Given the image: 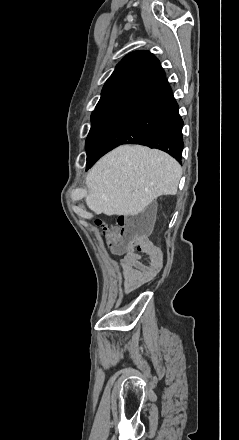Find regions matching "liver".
Wrapping results in <instances>:
<instances>
[{
  "mask_svg": "<svg viewBox=\"0 0 239 440\" xmlns=\"http://www.w3.org/2000/svg\"><path fill=\"white\" fill-rule=\"evenodd\" d=\"M182 168L174 158L144 146H119L86 176L85 202L94 214L137 216L154 198L177 194Z\"/></svg>",
  "mask_w": 239,
  "mask_h": 440,
  "instance_id": "liver-1",
  "label": "liver"
}]
</instances>
